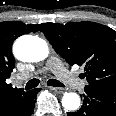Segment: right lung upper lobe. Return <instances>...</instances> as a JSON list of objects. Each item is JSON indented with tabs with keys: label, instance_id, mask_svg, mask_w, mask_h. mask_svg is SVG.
<instances>
[{
	"label": "right lung upper lobe",
	"instance_id": "1",
	"mask_svg": "<svg viewBox=\"0 0 116 116\" xmlns=\"http://www.w3.org/2000/svg\"><path fill=\"white\" fill-rule=\"evenodd\" d=\"M41 25H26L18 21L0 23V115L9 105L24 92L23 89L13 88L6 83L10 73L15 67V59L12 54V44L16 38L23 34L39 31Z\"/></svg>",
	"mask_w": 116,
	"mask_h": 116
}]
</instances>
